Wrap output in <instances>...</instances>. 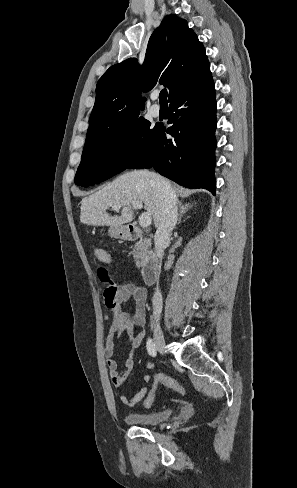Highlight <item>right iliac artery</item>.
<instances>
[{"mask_svg":"<svg viewBox=\"0 0 297 488\" xmlns=\"http://www.w3.org/2000/svg\"><path fill=\"white\" fill-rule=\"evenodd\" d=\"M146 348H147L149 355H151L153 357L156 356V353H157L156 352V346H155L153 339L148 338L147 343H146Z\"/></svg>","mask_w":297,"mask_h":488,"instance_id":"82829eb1","label":"right iliac artery"}]
</instances>
